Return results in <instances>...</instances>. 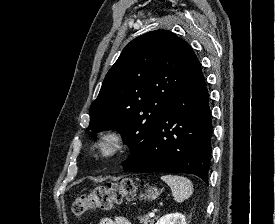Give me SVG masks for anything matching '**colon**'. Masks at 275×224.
<instances>
[{
    "label": "colon",
    "instance_id": "5ec220e1",
    "mask_svg": "<svg viewBox=\"0 0 275 224\" xmlns=\"http://www.w3.org/2000/svg\"><path fill=\"white\" fill-rule=\"evenodd\" d=\"M136 190L137 185L131 179L112 182L95 188L89 194L77 196L72 211L77 216H83L95 210H110L115 204L133 200Z\"/></svg>",
    "mask_w": 275,
    "mask_h": 224
}]
</instances>
